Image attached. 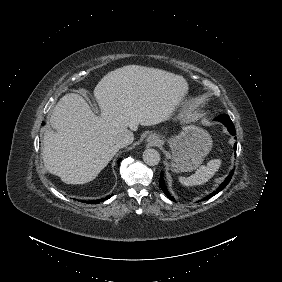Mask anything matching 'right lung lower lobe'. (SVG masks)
<instances>
[{
  "instance_id": "obj_1",
  "label": "right lung lower lobe",
  "mask_w": 282,
  "mask_h": 282,
  "mask_svg": "<svg viewBox=\"0 0 282 282\" xmlns=\"http://www.w3.org/2000/svg\"><path fill=\"white\" fill-rule=\"evenodd\" d=\"M120 159L118 160V164L120 163ZM112 195H108V196H106L105 198H103V199H99V200H95V201H81V202H83V203H88V204H97V203H100V202H103L104 200H107V199H109L110 197H111Z\"/></svg>"
}]
</instances>
